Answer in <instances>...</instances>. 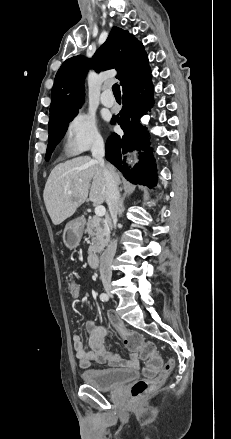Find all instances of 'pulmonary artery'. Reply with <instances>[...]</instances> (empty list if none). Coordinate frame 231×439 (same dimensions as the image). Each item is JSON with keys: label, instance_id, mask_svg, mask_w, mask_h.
I'll use <instances>...</instances> for the list:
<instances>
[{"label": "pulmonary artery", "instance_id": "pulmonary-artery-1", "mask_svg": "<svg viewBox=\"0 0 231 439\" xmlns=\"http://www.w3.org/2000/svg\"><path fill=\"white\" fill-rule=\"evenodd\" d=\"M101 103L105 106V107H113L115 105V101L114 98L111 95V92L109 89H106L102 95H101Z\"/></svg>", "mask_w": 231, "mask_h": 439}]
</instances>
